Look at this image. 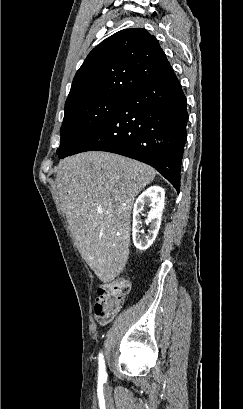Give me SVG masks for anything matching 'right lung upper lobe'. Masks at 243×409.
Segmentation results:
<instances>
[{
  "label": "right lung upper lobe",
  "mask_w": 243,
  "mask_h": 409,
  "mask_svg": "<svg viewBox=\"0 0 243 409\" xmlns=\"http://www.w3.org/2000/svg\"><path fill=\"white\" fill-rule=\"evenodd\" d=\"M173 72L157 39L125 29L105 39L77 71L65 107L98 98H123Z\"/></svg>",
  "instance_id": "1"
}]
</instances>
